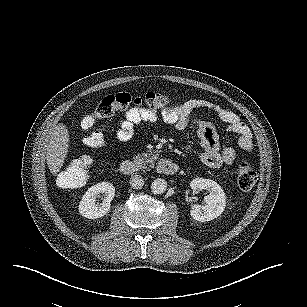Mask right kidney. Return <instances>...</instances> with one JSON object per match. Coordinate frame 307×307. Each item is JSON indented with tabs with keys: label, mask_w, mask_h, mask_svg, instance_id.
<instances>
[{
	"label": "right kidney",
	"mask_w": 307,
	"mask_h": 307,
	"mask_svg": "<svg viewBox=\"0 0 307 307\" xmlns=\"http://www.w3.org/2000/svg\"><path fill=\"white\" fill-rule=\"evenodd\" d=\"M102 197L101 203H96V199ZM115 196V187L110 182L97 183L85 192L79 202L78 210L80 215L88 219H97L105 216L111 207V201Z\"/></svg>",
	"instance_id": "right-kidney-1"
}]
</instances>
